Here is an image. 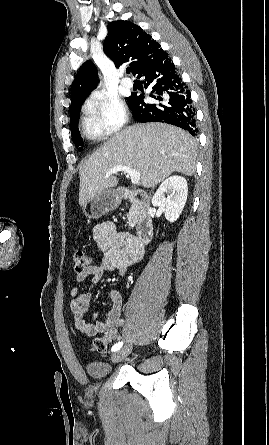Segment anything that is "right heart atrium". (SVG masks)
<instances>
[{
	"label": "right heart atrium",
	"mask_w": 269,
	"mask_h": 445,
	"mask_svg": "<svg viewBox=\"0 0 269 445\" xmlns=\"http://www.w3.org/2000/svg\"><path fill=\"white\" fill-rule=\"evenodd\" d=\"M86 113L95 121L105 134L121 130L128 120L124 102L107 92H95L85 102Z\"/></svg>",
	"instance_id": "1"
}]
</instances>
